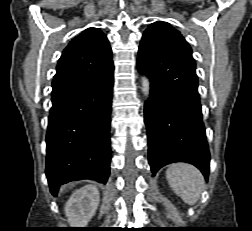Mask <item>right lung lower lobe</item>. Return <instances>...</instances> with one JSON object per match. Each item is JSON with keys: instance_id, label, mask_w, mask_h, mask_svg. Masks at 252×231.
<instances>
[{"instance_id": "obj_1", "label": "right lung lower lobe", "mask_w": 252, "mask_h": 231, "mask_svg": "<svg viewBox=\"0 0 252 231\" xmlns=\"http://www.w3.org/2000/svg\"><path fill=\"white\" fill-rule=\"evenodd\" d=\"M113 72L52 100L47 128L46 176L50 191L80 179L106 184L110 174Z\"/></svg>"}]
</instances>
